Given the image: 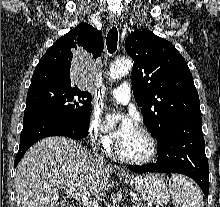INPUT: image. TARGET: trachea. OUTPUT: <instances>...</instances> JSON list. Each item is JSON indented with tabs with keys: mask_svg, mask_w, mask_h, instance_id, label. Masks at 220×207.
Here are the masks:
<instances>
[{
	"mask_svg": "<svg viewBox=\"0 0 220 207\" xmlns=\"http://www.w3.org/2000/svg\"><path fill=\"white\" fill-rule=\"evenodd\" d=\"M117 41H118V31L117 28L115 26H113L108 34H107V38H106V42H107V49L108 52L113 54L116 49H117Z\"/></svg>",
	"mask_w": 220,
	"mask_h": 207,
	"instance_id": "3493384b",
	"label": "trachea"
}]
</instances>
